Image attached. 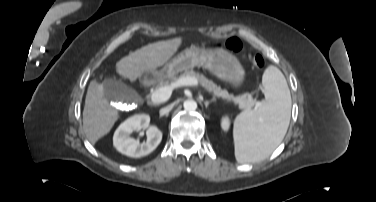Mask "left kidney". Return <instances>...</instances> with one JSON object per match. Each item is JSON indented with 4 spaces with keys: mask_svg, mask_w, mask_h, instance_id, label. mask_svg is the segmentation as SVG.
Masks as SVG:
<instances>
[{
    "mask_svg": "<svg viewBox=\"0 0 376 202\" xmlns=\"http://www.w3.org/2000/svg\"><path fill=\"white\" fill-rule=\"evenodd\" d=\"M229 126H230L229 119H228V118H225V119L222 121V128H223L224 130H228V129H229Z\"/></svg>",
    "mask_w": 376,
    "mask_h": 202,
    "instance_id": "left-kidney-1",
    "label": "left kidney"
}]
</instances>
